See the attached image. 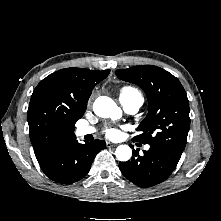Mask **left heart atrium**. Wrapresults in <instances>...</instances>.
<instances>
[{"label": "left heart atrium", "mask_w": 221, "mask_h": 221, "mask_svg": "<svg viewBox=\"0 0 221 221\" xmlns=\"http://www.w3.org/2000/svg\"><path fill=\"white\" fill-rule=\"evenodd\" d=\"M105 135L110 139H116L120 136V131L116 128H108L105 130Z\"/></svg>", "instance_id": "39dd6f15"}]
</instances>
